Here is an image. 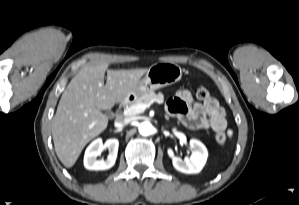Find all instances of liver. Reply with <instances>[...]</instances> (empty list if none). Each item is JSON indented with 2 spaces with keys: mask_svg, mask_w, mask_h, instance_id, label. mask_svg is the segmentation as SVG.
Wrapping results in <instances>:
<instances>
[{
  "mask_svg": "<svg viewBox=\"0 0 299 205\" xmlns=\"http://www.w3.org/2000/svg\"><path fill=\"white\" fill-rule=\"evenodd\" d=\"M147 71L109 70L106 63H99L84 67L71 79L52 124L55 152L65 167L71 168L86 144L107 128L102 110L127 99Z\"/></svg>",
  "mask_w": 299,
  "mask_h": 205,
  "instance_id": "obj_1",
  "label": "liver"
}]
</instances>
